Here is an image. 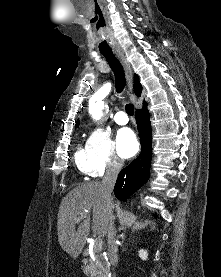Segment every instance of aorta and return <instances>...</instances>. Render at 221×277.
Returning <instances> with one entry per match:
<instances>
[{"instance_id": "1", "label": "aorta", "mask_w": 221, "mask_h": 277, "mask_svg": "<svg viewBox=\"0 0 221 277\" xmlns=\"http://www.w3.org/2000/svg\"><path fill=\"white\" fill-rule=\"evenodd\" d=\"M103 107H104L103 102H99V103L90 105L89 112L94 119L98 120L101 118Z\"/></svg>"}]
</instances>
